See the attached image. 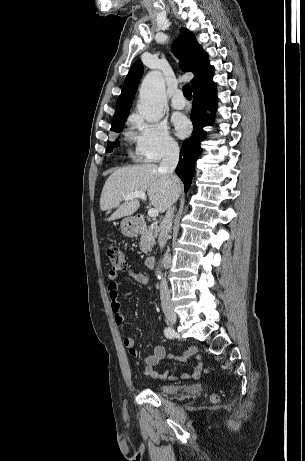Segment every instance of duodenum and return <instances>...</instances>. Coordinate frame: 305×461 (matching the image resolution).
I'll use <instances>...</instances> for the list:
<instances>
[{"mask_svg":"<svg viewBox=\"0 0 305 461\" xmlns=\"http://www.w3.org/2000/svg\"><path fill=\"white\" fill-rule=\"evenodd\" d=\"M135 225L138 229H142L144 227V221L142 219H136L135 220ZM155 264V257L154 256H148L145 259V266L148 269H151L154 267Z\"/></svg>","mask_w":305,"mask_h":461,"instance_id":"1","label":"duodenum"}]
</instances>
